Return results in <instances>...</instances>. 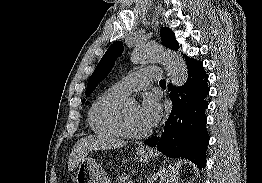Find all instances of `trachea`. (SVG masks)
<instances>
[{"label":"trachea","mask_w":262,"mask_h":183,"mask_svg":"<svg viewBox=\"0 0 262 183\" xmlns=\"http://www.w3.org/2000/svg\"><path fill=\"white\" fill-rule=\"evenodd\" d=\"M160 85H166V81L165 80H160Z\"/></svg>","instance_id":"obj_1"}]
</instances>
